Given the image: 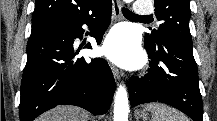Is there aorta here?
<instances>
[{
  "instance_id": "obj_1",
  "label": "aorta",
  "mask_w": 217,
  "mask_h": 121,
  "mask_svg": "<svg viewBox=\"0 0 217 121\" xmlns=\"http://www.w3.org/2000/svg\"><path fill=\"white\" fill-rule=\"evenodd\" d=\"M130 3L132 0H124ZM129 103L125 86L120 85L116 91L114 99V119L113 121H128Z\"/></svg>"
}]
</instances>
